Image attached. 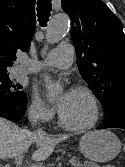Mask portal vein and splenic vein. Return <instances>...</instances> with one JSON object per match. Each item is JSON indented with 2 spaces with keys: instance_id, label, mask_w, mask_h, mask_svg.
I'll use <instances>...</instances> for the list:
<instances>
[{
  "instance_id": "18ae733b",
  "label": "portal vein and splenic vein",
  "mask_w": 125,
  "mask_h": 167,
  "mask_svg": "<svg viewBox=\"0 0 125 167\" xmlns=\"http://www.w3.org/2000/svg\"><path fill=\"white\" fill-rule=\"evenodd\" d=\"M23 158H24V155H19L15 158L14 162L16 165L20 166L23 164ZM74 161L71 159L69 160V163H73ZM31 167H41L40 165H36V164H33Z\"/></svg>"
}]
</instances>
